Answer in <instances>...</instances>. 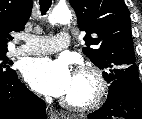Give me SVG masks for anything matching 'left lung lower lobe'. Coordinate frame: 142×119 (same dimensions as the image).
Here are the masks:
<instances>
[{"label":"left lung lower lobe","mask_w":142,"mask_h":119,"mask_svg":"<svg viewBox=\"0 0 142 119\" xmlns=\"http://www.w3.org/2000/svg\"><path fill=\"white\" fill-rule=\"evenodd\" d=\"M88 119H142V84L133 74L112 81L102 108Z\"/></svg>","instance_id":"1"}]
</instances>
